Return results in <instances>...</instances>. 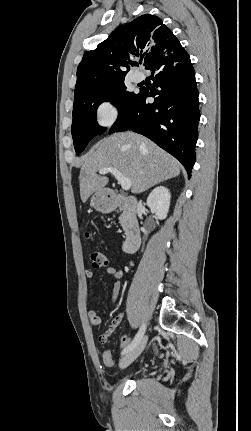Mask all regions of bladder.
<instances>
[{
  "mask_svg": "<svg viewBox=\"0 0 251 431\" xmlns=\"http://www.w3.org/2000/svg\"><path fill=\"white\" fill-rule=\"evenodd\" d=\"M143 373H144V371H143V370L139 371V374H143Z\"/></svg>",
  "mask_w": 251,
  "mask_h": 431,
  "instance_id": "obj_1",
  "label": "bladder"
}]
</instances>
